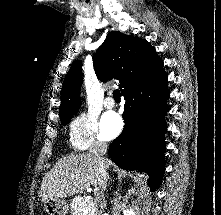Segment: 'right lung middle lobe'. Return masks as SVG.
Segmentation results:
<instances>
[{
  "instance_id": "obj_1",
  "label": "right lung middle lobe",
  "mask_w": 221,
  "mask_h": 215,
  "mask_svg": "<svg viewBox=\"0 0 221 215\" xmlns=\"http://www.w3.org/2000/svg\"><path fill=\"white\" fill-rule=\"evenodd\" d=\"M70 118H71V116L70 117H67V118H63V119H61L64 123H68L69 121H70Z\"/></svg>"
}]
</instances>
